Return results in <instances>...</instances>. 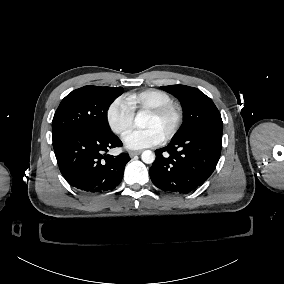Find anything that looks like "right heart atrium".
I'll return each instance as SVG.
<instances>
[{"mask_svg":"<svg viewBox=\"0 0 284 284\" xmlns=\"http://www.w3.org/2000/svg\"><path fill=\"white\" fill-rule=\"evenodd\" d=\"M134 119V109L128 97L120 96L110 102L106 109V122L109 129L117 135L127 131Z\"/></svg>","mask_w":284,"mask_h":284,"instance_id":"obj_1","label":"right heart atrium"}]
</instances>
